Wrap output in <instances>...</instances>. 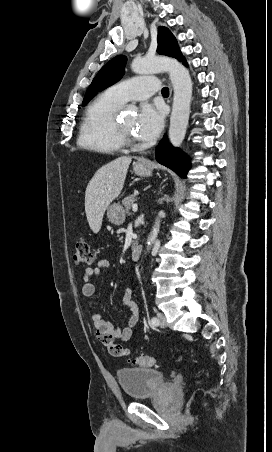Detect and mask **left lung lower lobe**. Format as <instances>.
Returning a JSON list of instances; mask_svg holds the SVG:
<instances>
[{"label":"left lung lower lobe","instance_id":"left-lung-lower-lobe-1","mask_svg":"<svg viewBox=\"0 0 272 452\" xmlns=\"http://www.w3.org/2000/svg\"><path fill=\"white\" fill-rule=\"evenodd\" d=\"M179 61H182V63L187 66V62L184 57H182ZM156 160L160 164L172 169L181 177H186L189 169V161L178 148H174L171 144H168L166 137L162 139L156 149Z\"/></svg>","mask_w":272,"mask_h":452}]
</instances>
